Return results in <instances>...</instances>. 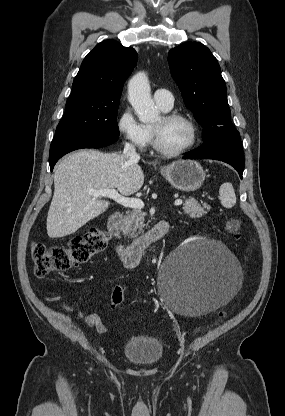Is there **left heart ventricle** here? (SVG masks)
I'll return each instance as SVG.
<instances>
[{"mask_svg":"<svg viewBox=\"0 0 285 416\" xmlns=\"http://www.w3.org/2000/svg\"><path fill=\"white\" fill-rule=\"evenodd\" d=\"M150 126L156 132L159 144L165 149L179 150L190 142V128L182 120L166 121L160 115Z\"/></svg>","mask_w":285,"mask_h":416,"instance_id":"1","label":"left heart ventricle"}]
</instances>
